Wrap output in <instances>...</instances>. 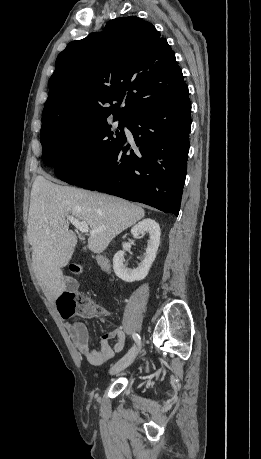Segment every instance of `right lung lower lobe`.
<instances>
[{
    "label": "right lung lower lobe",
    "instance_id": "obj_1",
    "mask_svg": "<svg viewBox=\"0 0 261 459\" xmlns=\"http://www.w3.org/2000/svg\"><path fill=\"white\" fill-rule=\"evenodd\" d=\"M190 113L185 84L172 98L127 120L134 150L125 137L107 160L69 183L178 216L187 170Z\"/></svg>",
    "mask_w": 261,
    "mask_h": 459
}]
</instances>
